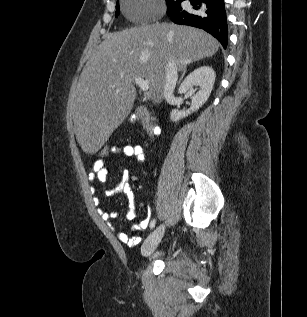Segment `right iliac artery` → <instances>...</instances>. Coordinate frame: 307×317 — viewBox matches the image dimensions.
Listing matches in <instances>:
<instances>
[{
  "mask_svg": "<svg viewBox=\"0 0 307 317\" xmlns=\"http://www.w3.org/2000/svg\"><path fill=\"white\" fill-rule=\"evenodd\" d=\"M155 220H153V221H151V223H150V228L152 229L154 226H155Z\"/></svg>",
  "mask_w": 307,
  "mask_h": 317,
  "instance_id": "right-iliac-artery-1",
  "label": "right iliac artery"
}]
</instances>
